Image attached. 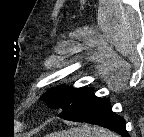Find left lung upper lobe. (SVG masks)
<instances>
[{"label": "left lung upper lobe", "instance_id": "obj_1", "mask_svg": "<svg viewBox=\"0 0 144 137\" xmlns=\"http://www.w3.org/2000/svg\"><path fill=\"white\" fill-rule=\"evenodd\" d=\"M85 90L84 88L74 89L69 87L52 88L42 96L50 107L62 110L72 104Z\"/></svg>", "mask_w": 144, "mask_h": 137}]
</instances>
